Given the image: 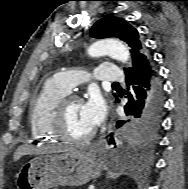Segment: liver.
Wrapping results in <instances>:
<instances>
[{
    "mask_svg": "<svg viewBox=\"0 0 188 189\" xmlns=\"http://www.w3.org/2000/svg\"><path fill=\"white\" fill-rule=\"evenodd\" d=\"M29 151H34V149L26 145L20 146L14 153V161L19 160L24 154L28 153ZM53 151L54 152H71V153L81 152L71 147H56ZM35 152L38 153L39 151L35 150Z\"/></svg>",
    "mask_w": 188,
    "mask_h": 189,
    "instance_id": "1",
    "label": "liver"
}]
</instances>
